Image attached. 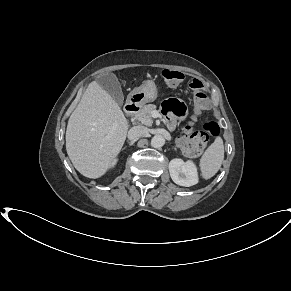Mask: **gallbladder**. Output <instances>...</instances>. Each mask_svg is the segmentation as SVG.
Here are the masks:
<instances>
[{"mask_svg":"<svg viewBox=\"0 0 291 291\" xmlns=\"http://www.w3.org/2000/svg\"><path fill=\"white\" fill-rule=\"evenodd\" d=\"M97 82L105 91L111 95V97L118 105L123 104V92L117 77L113 73H107L100 76Z\"/></svg>","mask_w":291,"mask_h":291,"instance_id":"gallbladder-1","label":"gallbladder"}]
</instances>
